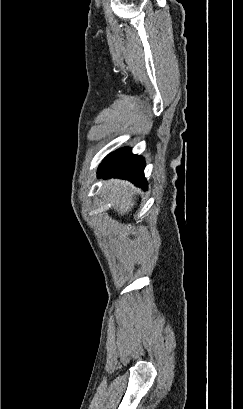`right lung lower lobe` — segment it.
<instances>
[{
    "instance_id": "right-lung-lower-lobe-1",
    "label": "right lung lower lobe",
    "mask_w": 243,
    "mask_h": 409,
    "mask_svg": "<svg viewBox=\"0 0 243 409\" xmlns=\"http://www.w3.org/2000/svg\"><path fill=\"white\" fill-rule=\"evenodd\" d=\"M145 161L141 156L133 155L129 147L109 154L98 169V177H119L128 179L137 186L147 189L144 178Z\"/></svg>"
}]
</instances>
